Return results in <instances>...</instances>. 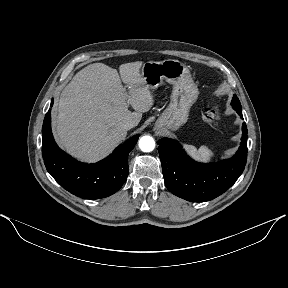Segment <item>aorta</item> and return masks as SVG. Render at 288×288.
Instances as JSON below:
<instances>
[{"label":"aorta","instance_id":"aorta-1","mask_svg":"<svg viewBox=\"0 0 288 288\" xmlns=\"http://www.w3.org/2000/svg\"><path fill=\"white\" fill-rule=\"evenodd\" d=\"M139 148L143 152H151L155 148V141L151 136H143L139 140Z\"/></svg>","mask_w":288,"mask_h":288}]
</instances>
